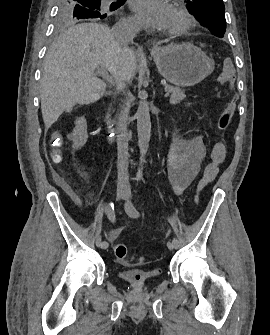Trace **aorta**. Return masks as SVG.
I'll list each match as a JSON object with an SVG mask.
<instances>
[{"label":"aorta","instance_id":"aorta-1","mask_svg":"<svg viewBox=\"0 0 270 335\" xmlns=\"http://www.w3.org/2000/svg\"><path fill=\"white\" fill-rule=\"evenodd\" d=\"M138 98H140L138 110L136 112L137 118V132H138V146L140 150V166L141 168L137 171V179L142 177V166L145 162V156L148 152L149 142L151 138V120L149 114V104L147 102V92H139Z\"/></svg>","mask_w":270,"mask_h":335}]
</instances>
